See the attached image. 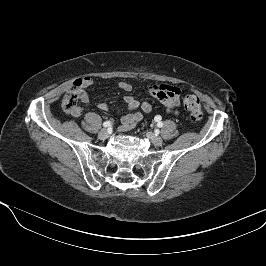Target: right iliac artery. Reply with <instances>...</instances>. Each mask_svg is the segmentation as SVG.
Returning <instances> with one entry per match:
<instances>
[{
  "label": "right iliac artery",
  "mask_w": 266,
  "mask_h": 266,
  "mask_svg": "<svg viewBox=\"0 0 266 266\" xmlns=\"http://www.w3.org/2000/svg\"><path fill=\"white\" fill-rule=\"evenodd\" d=\"M103 126L108 128V127L111 126V123L109 121H106V122L103 123Z\"/></svg>",
  "instance_id": "1"
}]
</instances>
